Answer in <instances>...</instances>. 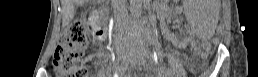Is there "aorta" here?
Wrapping results in <instances>:
<instances>
[{
  "label": "aorta",
  "instance_id": "obj_1",
  "mask_svg": "<svg viewBox=\"0 0 258 77\" xmlns=\"http://www.w3.org/2000/svg\"><path fill=\"white\" fill-rule=\"evenodd\" d=\"M130 11L134 17L139 18L142 13V0H130Z\"/></svg>",
  "mask_w": 258,
  "mask_h": 77
}]
</instances>
